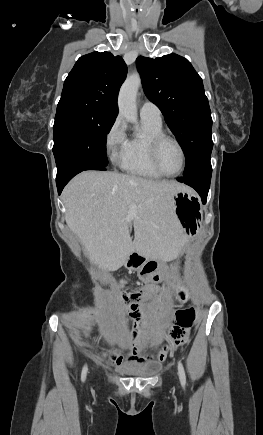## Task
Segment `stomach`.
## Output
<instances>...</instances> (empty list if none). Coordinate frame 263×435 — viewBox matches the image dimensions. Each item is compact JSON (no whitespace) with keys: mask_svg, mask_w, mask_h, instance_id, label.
<instances>
[{"mask_svg":"<svg viewBox=\"0 0 263 435\" xmlns=\"http://www.w3.org/2000/svg\"><path fill=\"white\" fill-rule=\"evenodd\" d=\"M174 212L180 224L177 225L178 233H201L204 222L203 216H200V204L198 196L190 189L179 191L172 197ZM128 269L137 270L140 278L146 282H167L169 276L167 273L157 275L160 268V260L146 257L138 252L130 254L124 263ZM176 302H171L169 307L176 309L178 305L185 303V298L181 293H175Z\"/></svg>","mask_w":263,"mask_h":435,"instance_id":"stomach-1","label":"stomach"}]
</instances>
